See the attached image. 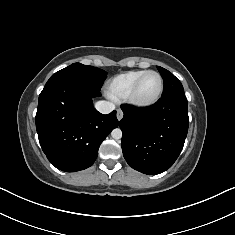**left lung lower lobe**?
<instances>
[{
    "mask_svg": "<svg viewBox=\"0 0 235 235\" xmlns=\"http://www.w3.org/2000/svg\"><path fill=\"white\" fill-rule=\"evenodd\" d=\"M122 151L137 171L154 175L178 158L188 132V103L184 93L162 96L147 108L121 105Z\"/></svg>",
    "mask_w": 235,
    "mask_h": 235,
    "instance_id": "0a47b994",
    "label": "left lung lower lobe"
}]
</instances>
